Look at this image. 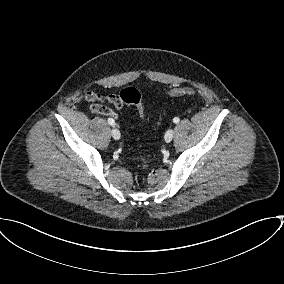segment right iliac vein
Returning a JSON list of instances; mask_svg holds the SVG:
<instances>
[{
    "instance_id": "obj_1",
    "label": "right iliac vein",
    "mask_w": 284,
    "mask_h": 284,
    "mask_svg": "<svg viewBox=\"0 0 284 284\" xmlns=\"http://www.w3.org/2000/svg\"><path fill=\"white\" fill-rule=\"evenodd\" d=\"M111 135H112V137H113L115 140H119V139H120V132H119V130H118L117 128H115V127L111 130Z\"/></svg>"
}]
</instances>
